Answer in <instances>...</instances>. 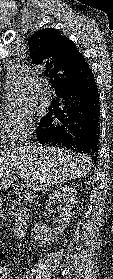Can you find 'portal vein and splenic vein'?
I'll return each instance as SVG.
<instances>
[{
	"label": "portal vein and splenic vein",
	"instance_id": "1",
	"mask_svg": "<svg viewBox=\"0 0 113 279\" xmlns=\"http://www.w3.org/2000/svg\"><path fill=\"white\" fill-rule=\"evenodd\" d=\"M29 187H30V186H29V185H27V184H25V185H24V184H22V185H21V189H27V188H29Z\"/></svg>",
	"mask_w": 113,
	"mask_h": 279
}]
</instances>
